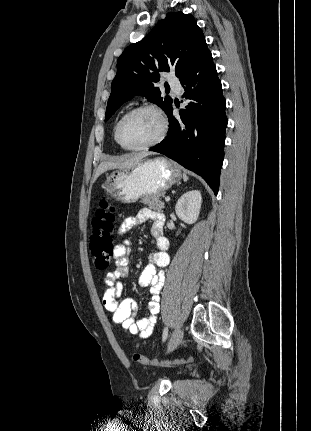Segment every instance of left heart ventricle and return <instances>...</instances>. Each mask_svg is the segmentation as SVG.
Segmentation results:
<instances>
[{
  "label": "left heart ventricle",
  "instance_id": "obj_1",
  "mask_svg": "<svg viewBox=\"0 0 311 431\" xmlns=\"http://www.w3.org/2000/svg\"><path fill=\"white\" fill-rule=\"evenodd\" d=\"M161 132V121L152 111H139L127 117L120 126L123 142L130 147L145 145Z\"/></svg>",
  "mask_w": 311,
  "mask_h": 431
}]
</instances>
